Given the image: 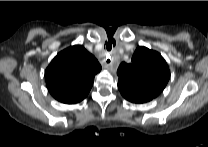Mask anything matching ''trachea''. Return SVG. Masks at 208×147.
Here are the masks:
<instances>
[{
    "label": "trachea",
    "instance_id": "obj_1",
    "mask_svg": "<svg viewBox=\"0 0 208 147\" xmlns=\"http://www.w3.org/2000/svg\"><path fill=\"white\" fill-rule=\"evenodd\" d=\"M113 45H114V44H113ZM106 48H107L108 51H110V50L112 49V45H111L110 43H108V44L106 45Z\"/></svg>",
    "mask_w": 208,
    "mask_h": 147
}]
</instances>
